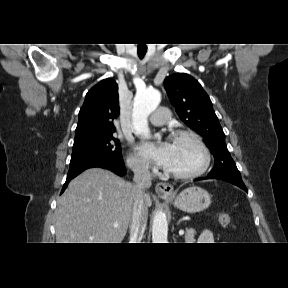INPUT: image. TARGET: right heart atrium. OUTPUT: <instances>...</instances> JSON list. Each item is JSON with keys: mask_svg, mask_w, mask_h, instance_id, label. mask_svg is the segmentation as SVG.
<instances>
[{"mask_svg": "<svg viewBox=\"0 0 288 288\" xmlns=\"http://www.w3.org/2000/svg\"><path fill=\"white\" fill-rule=\"evenodd\" d=\"M129 167L140 174H147L150 171V164L144 158L131 154L127 159Z\"/></svg>", "mask_w": 288, "mask_h": 288, "instance_id": "right-heart-atrium-1", "label": "right heart atrium"}]
</instances>
